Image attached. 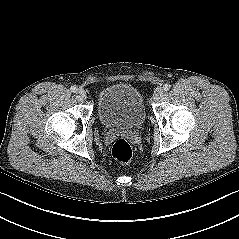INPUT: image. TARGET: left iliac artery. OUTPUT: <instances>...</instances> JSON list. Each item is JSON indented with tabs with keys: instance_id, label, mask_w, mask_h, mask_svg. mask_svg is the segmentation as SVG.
Segmentation results:
<instances>
[{
	"instance_id": "44dca946",
	"label": "left iliac artery",
	"mask_w": 239,
	"mask_h": 239,
	"mask_svg": "<svg viewBox=\"0 0 239 239\" xmlns=\"http://www.w3.org/2000/svg\"><path fill=\"white\" fill-rule=\"evenodd\" d=\"M170 88H171V85L170 84H165V85H163V89H164V91H169L170 90Z\"/></svg>"
}]
</instances>
